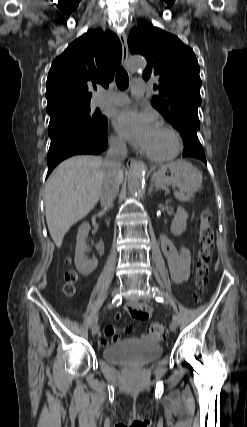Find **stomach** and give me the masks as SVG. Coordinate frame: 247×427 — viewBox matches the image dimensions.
<instances>
[{
  "instance_id": "0dacf381",
  "label": "stomach",
  "mask_w": 247,
  "mask_h": 427,
  "mask_svg": "<svg viewBox=\"0 0 247 427\" xmlns=\"http://www.w3.org/2000/svg\"><path fill=\"white\" fill-rule=\"evenodd\" d=\"M152 180L157 184L176 186L182 193L191 196L201 187L202 175L195 166L179 159L163 166Z\"/></svg>"
}]
</instances>
